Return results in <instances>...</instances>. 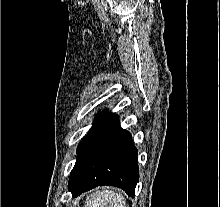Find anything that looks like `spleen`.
I'll list each match as a JSON object with an SVG mask.
<instances>
[{
  "label": "spleen",
  "mask_w": 220,
  "mask_h": 207,
  "mask_svg": "<svg viewBox=\"0 0 220 207\" xmlns=\"http://www.w3.org/2000/svg\"><path fill=\"white\" fill-rule=\"evenodd\" d=\"M85 207H126L124 197L112 189H97L87 197Z\"/></svg>",
  "instance_id": "spleen-1"
}]
</instances>
